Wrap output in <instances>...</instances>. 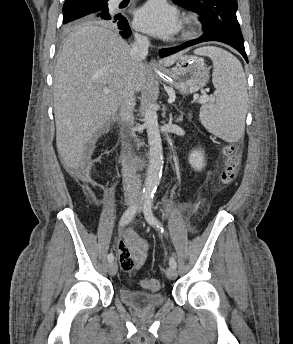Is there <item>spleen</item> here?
<instances>
[{"mask_svg": "<svg viewBox=\"0 0 293 344\" xmlns=\"http://www.w3.org/2000/svg\"><path fill=\"white\" fill-rule=\"evenodd\" d=\"M213 61L212 82L216 99L200 109V120L212 134L228 142L238 141L245 127L247 84L240 61L228 51L207 46L195 50Z\"/></svg>", "mask_w": 293, "mask_h": 344, "instance_id": "obj_1", "label": "spleen"}]
</instances>
